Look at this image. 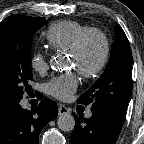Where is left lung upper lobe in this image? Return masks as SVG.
<instances>
[{
  "label": "left lung upper lobe",
  "instance_id": "1",
  "mask_svg": "<svg viewBox=\"0 0 144 144\" xmlns=\"http://www.w3.org/2000/svg\"><path fill=\"white\" fill-rule=\"evenodd\" d=\"M115 36L117 40L112 46L104 73L78 103L93 102L92 108H104L125 118L132 91V54L128 38L120 25L115 27Z\"/></svg>",
  "mask_w": 144,
  "mask_h": 144
}]
</instances>
